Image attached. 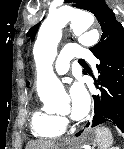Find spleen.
I'll list each match as a JSON object with an SVG mask.
<instances>
[{"mask_svg":"<svg viewBox=\"0 0 124 149\" xmlns=\"http://www.w3.org/2000/svg\"><path fill=\"white\" fill-rule=\"evenodd\" d=\"M99 149H108L112 145V135L108 128L98 127L95 129Z\"/></svg>","mask_w":124,"mask_h":149,"instance_id":"1","label":"spleen"}]
</instances>
